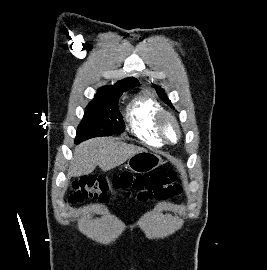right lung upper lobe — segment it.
<instances>
[{"label":"right lung upper lobe","instance_id":"cb5924a9","mask_svg":"<svg viewBox=\"0 0 267 270\" xmlns=\"http://www.w3.org/2000/svg\"><path fill=\"white\" fill-rule=\"evenodd\" d=\"M139 84L138 80L135 78H126L118 81L115 85L104 86L100 88L99 91H112V92H124Z\"/></svg>","mask_w":267,"mask_h":270}]
</instances>
